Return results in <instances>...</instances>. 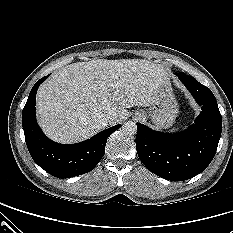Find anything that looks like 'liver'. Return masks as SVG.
Here are the masks:
<instances>
[{
  "label": "liver",
  "instance_id": "obj_1",
  "mask_svg": "<svg viewBox=\"0 0 233 233\" xmlns=\"http://www.w3.org/2000/svg\"><path fill=\"white\" fill-rule=\"evenodd\" d=\"M168 83L163 67L144 59L70 64L39 87V124L52 140L80 142L103 128L99 116L109 115L114 124L127 115L125 108L149 106Z\"/></svg>",
  "mask_w": 233,
  "mask_h": 233
}]
</instances>
